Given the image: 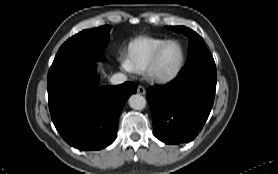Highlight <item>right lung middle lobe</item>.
<instances>
[{"label":"right lung middle lobe","instance_id":"obj_1","mask_svg":"<svg viewBox=\"0 0 278 174\" xmlns=\"http://www.w3.org/2000/svg\"><path fill=\"white\" fill-rule=\"evenodd\" d=\"M111 26L83 30L69 38L59 49L54 58L52 67L68 59L86 57L95 60H104V50L108 45Z\"/></svg>","mask_w":278,"mask_h":174}]
</instances>
